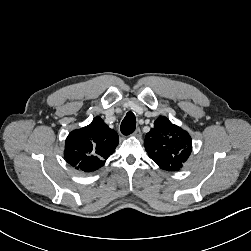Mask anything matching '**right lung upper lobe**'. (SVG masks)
<instances>
[{"label": "right lung upper lobe", "instance_id": "1", "mask_svg": "<svg viewBox=\"0 0 251 251\" xmlns=\"http://www.w3.org/2000/svg\"><path fill=\"white\" fill-rule=\"evenodd\" d=\"M118 143V134L100 117H95L90 125L68 135L64 157L76 169L91 172L104 165Z\"/></svg>", "mask_w": 251, "mask_h": 251}]
</instances>
